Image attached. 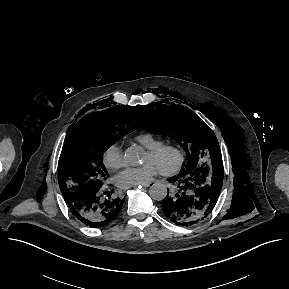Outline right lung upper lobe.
<instances>
[{"instance_id":"cb5924a9","label":"right lung upper lobe","mask_w":289,"mask_h":289,"mask_svg":"<svg viewBox=\"0 0 289 289\" xmlns=\"http://www.w3.org/2000/svg\"><path fill=\"white\" fill-rule=\"evenodd\" d=\"M137 117L136 115V107L134 106H114L109 109L94 112L84 116L79 122L85 121H96V120H103V119H116V118H125L129 123H134V118ZM134 124H137L134 123Z\"/></svg>"}]
</instances>
